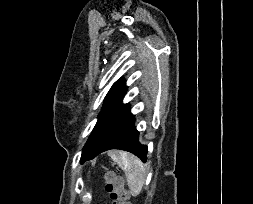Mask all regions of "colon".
I'll return each mask as SVG.
<instances>
[{"label":"colon","instance_id":"1","mask_svg":"<svg viewBox=\"0 0 253 204\" xmlns=\"http://www.w3.org/2000/svg\"><path fill=\"white\" fill-rule=\"evenodd\" d=\"M105 190L109 195L111 204H130L129 193L125 188L123 179L113 172L104 174Z\"/></svg>","mask_w":253,"mask_h":204}]
</instances>
